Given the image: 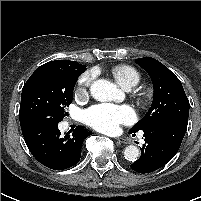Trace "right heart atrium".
Here are the masks:
<instances>
[{"mask_svg":"<svg viewBox=\"0 0 201 201\" xmlns=\"http://www.w3.org/2000/svg\"><path fill=\"white\" fill-rule=\"evenodd\" d=\"M94 76H95V72L91 70L86 71L80 76L78 80V84H77V89H76L77 96L86 97L88 95L89 87L91 85V82Z\"/></svg>","mask_w":201,"mask_h":201,"instance_id":"obj_1","label":"right heart atrium"}]
</instances>
